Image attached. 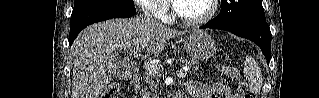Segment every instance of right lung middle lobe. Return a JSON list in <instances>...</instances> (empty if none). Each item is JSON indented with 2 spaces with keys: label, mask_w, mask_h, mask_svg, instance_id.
Masks as SVG:
<instances>
[{
  "label": "right lung middle lobe",
  "mask_w": 319,
  "mask_h": 98,
  "mask_svg": "<svg viewBox=\"0 0 319 98\" xmlns=\"http://www.w3.org/2000/svg\"><path fill=\"white\" fill-rule=\"evenodd\" d=\"M96 3H117L121 5H126L133 7V0H75L74 7H79L88 4H96Z\"/></svg>",
  "instance_id": "right-lung-middle-lobe-1"
}]
</instances>
